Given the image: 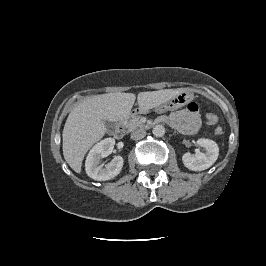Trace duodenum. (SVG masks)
Segmentation results:
<instances>
[{"mask_svg": "<svg viewBox=\"0 0 266 266\" xmlns=\"http://www.w3.org/2000/svg\"><path fill=\"white\" fill-rule=\"evenodd\" d=\"M137 113V111H134V114ZM114 135L116 138H122L124 135V125L122 123H119L114 131Z\"/></svg>", "mask_w": 266, "mask_h": 266, "instance_id": "duodenum-1", "label": "duodenum"}]
</instances>
